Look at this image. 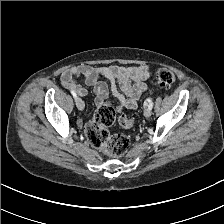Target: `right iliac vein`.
Wrapping results in <instances>:
<instances>
[{
	"mask_svg": "<svg viewBox=\"0 0 224 224\" xmlns=\"http://www.w3.org/2000/svg\"><path fill=\"white\" fill-rule=\"evenodd\" d=\"M76 106L79 110H83L84 109V102L80 98H77L76 99Z\"/></svg>",
	"mask_w": 224,
	"mask_h": 224,
	"instance_id": "obj_1",
	"label": "right iliac vein"
}]
</instances>
